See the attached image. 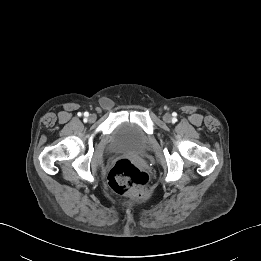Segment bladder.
Wrapping results in <instances>:
<instances>
[{"label": "bladder", "instance_id": "31cf9c89", "mask_svg": "<svg viewBox=\"0 0 261 261\" xmlns=\"http://www.w3.org/2000/svg\"><path fill=\"white\" fill-rule=\"evenodd\" d=\"M149 145L148 135L138 125L123 121L117 124L111 132L108 143L111 152H128L142 154Z\"/></svg>", "mask_w": 261, "mask_h": 261}]
</instances>
